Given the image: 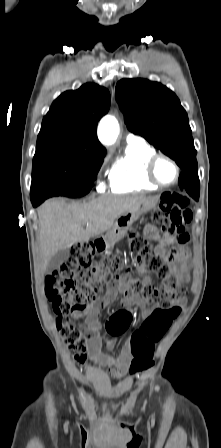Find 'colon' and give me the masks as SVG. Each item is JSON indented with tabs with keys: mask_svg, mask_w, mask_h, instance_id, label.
<instances>
[{
	"mask_svg": "<svg viewBox=\"0 0 221 448\" xmlns=\"http://www.w3.org/2000/svg\"><path fill=\"white\" fill-rule=\"evenodd\" d=\"M191 219L188 198L174 192L161 195L160 209L151 214V220L160 224L164 235L170 237L186 234V226ZM145 223H148L147 220ZM154 239L155 234L141 235L136 229L128 233L129 246L136 252L138 261L145 263L161 281L160 286L154 287L131 280L133 293L157 306L152 316L133 333L131 343L134 359L130 366L133 376L153 366L154 343L163 337L179 316L181 309L176 302L185 293L179 274L154 250ZM93 255V248L89 244L75 245L71 248L70 256L46 277L45 294L57 316V329L79 364L84 363L86 358L84 349L87 336L68 317L96 302L102 281L106 280L108 274V261H96ZM114 267L118 269L119 264L115 263Z\"/></svg>",
	"mask_w": 221,
	"mask_h": 448,
	"instance_id": "1",
	"label": "colon"
}]
</instances>
